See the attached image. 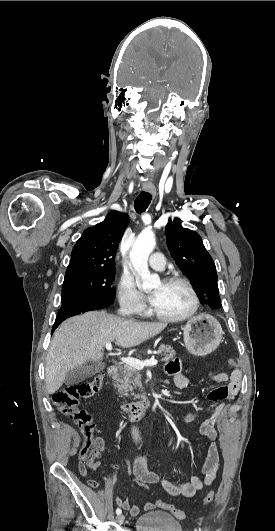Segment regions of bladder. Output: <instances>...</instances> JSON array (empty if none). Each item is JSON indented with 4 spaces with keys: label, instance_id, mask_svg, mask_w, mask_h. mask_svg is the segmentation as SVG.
I'll return each instance as SVG.
<instances>
[{
    "label": "bladder",
    "instance_id": "1",
    "mask_svg": "<svg viewBox=\"0 0 275 531\" xmlns=\"http://www.w3.org/2000/svg\"><path fill=\"white\" fill-rule=\"evenodd\" d=\"M134 531H181V522L167 511H150L140 514Z\"/></svg>",
    "mask_w": 275,
    "mask_h": 531
}]
</instances>
